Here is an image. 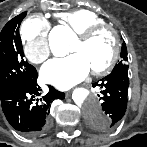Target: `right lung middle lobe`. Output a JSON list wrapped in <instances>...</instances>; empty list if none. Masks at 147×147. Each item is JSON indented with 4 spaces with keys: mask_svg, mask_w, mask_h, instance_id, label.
Wrapping results in <instances>:
<instances>
[{
    "mask_svg": "<svg viewBox=\"0 0 147 147\" xmlns=\"http://www.w3.org/2000/svg\"><path fill=\"white\" fill-rule=\"evenodd\" d=\"M26 12L10 20L0 33V90L22 84L37 74L24 59L19 35L21 21Z\"/></svg>",
    "mask_w": 147,
    "mask_h": 147,
    "instance_id": "obj_1",
    "label": "right lung middle lobe"
}]
</instances>
